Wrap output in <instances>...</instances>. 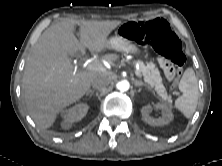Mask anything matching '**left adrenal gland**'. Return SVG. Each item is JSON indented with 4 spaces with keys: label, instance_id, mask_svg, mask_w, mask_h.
Instances as JSON below:
<instances>
[{
    "label": "left adrenal gland",
    "instance_id": "a2214340",
    "mask_svg": "<svg viewBox=\"0 0 222 166\" xmlns=\"http://www.w3.org/2000/svg\"><path fill=\"white\" fill-rule=\"evenodd\" d=\"M134 84H135V86H145V87H147L148 89H150L149 86H147L146 84H144L142 81L134 80Z\"/></svg>",
    "mask_w": 222,
    "mask_h": 166
}]
</instances>
